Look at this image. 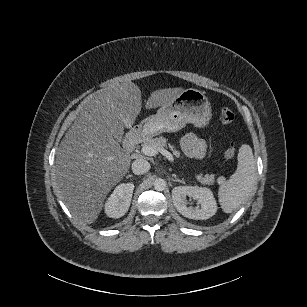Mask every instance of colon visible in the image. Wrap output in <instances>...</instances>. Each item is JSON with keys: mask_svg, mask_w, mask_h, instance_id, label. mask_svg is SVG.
Here are the masks:
<instances>
[{"mask_svg": "<svg viewBox=\"0 0 307 307\" xmlns=\"http://www.w3.org/2000/svg\"><path fill=\"white\" fill-rule=\"evenodd\" d=\"M219 119L222 124L226 125L234 120V114L230 109L223 108L219 112ZM234 155H235V143L232 142L231 146L224 151V157L230 159L233 158Z\"/></svg>", "mask_w": 307, "mask_h": 307, "instance_id": "5ec220e1", "label": "colon"}]
</instances>
